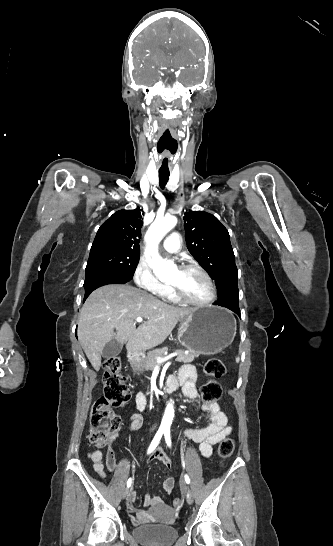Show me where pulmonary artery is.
<instances>
[{
	"label": "pulmonary artery",
	"instance_id": "obj_1",
	"mask_svg": "<svg viewBox=\"0 0 333 546\" xmlns=\"http://www.w3.org/2000/svg\"><path fill=\"white\" fill-rule=\"evenodd\" d=\"M181 246V237L177 232L171 233L163 242V248L169 253H176Z\"/></svg>",
	"mask_w": 333,
	"mask_h": 546
}]
</instances>
